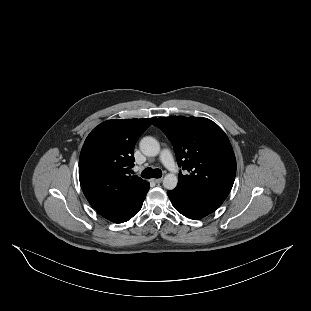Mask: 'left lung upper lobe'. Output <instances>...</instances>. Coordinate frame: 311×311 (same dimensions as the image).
Masks as SVG:
<instances>
[{"label":"left lung upper lobe","mask_w":311,"mask_h":311,"mask_svg":"<svg viewBox=\"0 0 311 311\" xmlns=\"http://www.w3.org/2000/svg\"><path fill=\"white\" fill-rule=\"evenodd\" d=\"M172 142L178 165V186L226 199L236 175V159L224 131L202 117H160L155 123Z\"/></svg>","instance_id":"obj_1"}]
</instances>
